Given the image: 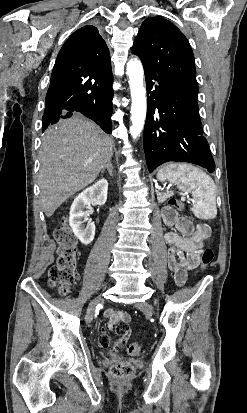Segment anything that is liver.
I'll return each mask as SVG.
<instances>
[{
	"mask_svg": "<svg viewBox=\"0 0 247 413\" xmlns=\"http://www.w3.org/2000/svg\"><path fill=\"white\" fill-rule=\"evenodd\" d=\"M112 148L111 136L81 114L49 124L39 152L40 198L46 217L95 180L113 156Z\"/></svg>",
	"mask_w": 247,
	"mask_h": 413,
	"instance_id": "6515ba94",
	"label": "liver"
}]
</instances>
